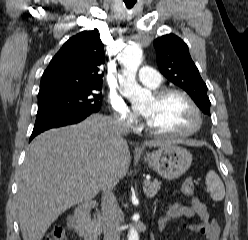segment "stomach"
Wrapping results in <instances>:
<instances>
[{"label": "stomach", "instance_id": "1", "mask_svg": "<svg viewBox=\"0 0 248 240\" xmlns=\"http://www.w3.org/2000/svg\"><path fill=\"white\" fill-rule=\"evenodd\" d=\"M161 177L173 180L187 171L192 162V154L174 144L159 147L144 158Z\"/></svg>", "mask_w": 248, "mask_h": 240}]
</instances>
